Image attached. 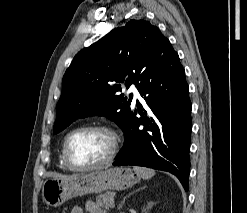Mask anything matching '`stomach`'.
I'll list each match as a JSON object with an SVG mask.
<instances>
[{
    "label": "stomach",
    "mask_w": 247,
    "mask_h": 213,
    "mask_svg": "<svg viewBox=\"0 0 247 213\" xmlns=\"http://www.w3.org/2000/svg\"><path fill=\"white\" fill-rule=\"evenodd\" d=\"M139 180L137 173L125 167H112L68 178H47L42 186V198L48 206L58 207L73 197L104 190H123Z\"/></svg>",
    "instance_id": "obj_1"
}]
</instances>
